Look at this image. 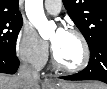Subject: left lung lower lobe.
I'll use <instances>...</instances> for the list:
<instances>
[{
  "label": "left lung lower lobe",
  "instance_id": "0a47b994",
  "mask_svg": "<svg viewBox=\"0 0 107 89\" xmlns=\"http://www.w3.org/2000/svg\"><path fill=\"white\" fill-rule=\"evenodd\" d=\"M90 48V61L81 72L60 77L64 80H99L107 83V38H102Z\"/></svg>",
  "mask_w": 107,
  "mask_h": 89
}]
</instances>
